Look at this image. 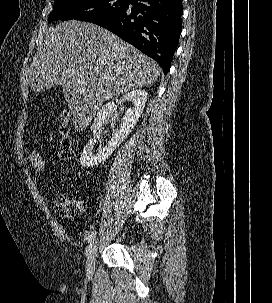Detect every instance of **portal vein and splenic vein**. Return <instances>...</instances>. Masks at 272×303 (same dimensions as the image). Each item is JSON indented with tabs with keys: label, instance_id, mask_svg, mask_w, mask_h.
<instances>
[{
	"label": "portal vein and splenic vein",
	"instance_id": "obj_1",
	"mask_svg": "<svg viewBox=\"0 0 272 303\" xmlns=\"http://www.w3.org/2000/svg\"><path fill=\"white\" fill-rule=\"evenodd\" d=\"M83 81L82 80H78V83H82Z\"/></svg>",
	"mask_w": 272,
	"mask_h": 303
}]
</instances>
